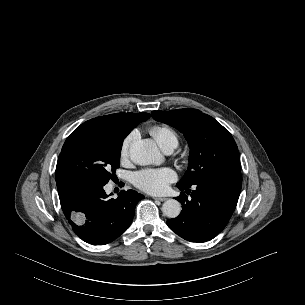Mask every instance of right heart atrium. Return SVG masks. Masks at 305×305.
<instances>
[{
  "instance_id": "1",
  "label": "right heart atrium",
  "mask_w": 305,
  "mask_h": 305,
  "mask_svg": "<svg viewBox=\"0 0 305 305\" xmlns=\"http://www.w3.org/2000/svg\"><path fill=\"white\" fill-rule=\"evenodd\" d=\"M135 139V133L129 134L122 142L120 147V158L122 161H126L130 155V148Z\"/></svg>"
}]
</instances>
